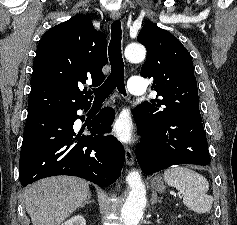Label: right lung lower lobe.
Segmentation results:
<instances>
[{"label":"right lung lower lobe","mask_w":237,"mask_h":225,"mask_svg":"<svg viewBox=\"0 0 237 225\" xmlns=\"http://www.w3.org/2000/svg\"><path fill=\"white\" fill-rule=\"evenodd\" d=\"M90 104L27 117L19 163L22 186L49 176L71 175L106 187L121 175L125 160L122 144L113 136L95 135L109 132L113 109L104 108L91 121L87 127L91 135L73 130L79 118L77 110H87Z\"/></svg>","instance_id":"1"}]
</instances>
